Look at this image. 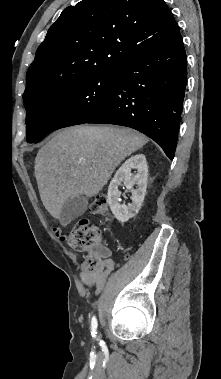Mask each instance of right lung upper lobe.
<instances>
[{"mask_svg": "<svg viewBox=\"0 0 221 379\" xmlns=\"http://www.w3.org/2000/svg\"><path fill=\"white\" fill-rule=\"evenodd\" d=\"M178 33L164 0H83L69 6L37 49L24 103L72 79L118 69Z\"/></svg>", "mask_w": 221, "mask_h": 379, "instance_id": "1", "label": "right lung upper lobe"}]
</instances>
